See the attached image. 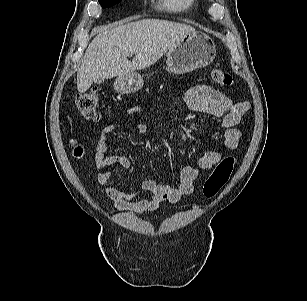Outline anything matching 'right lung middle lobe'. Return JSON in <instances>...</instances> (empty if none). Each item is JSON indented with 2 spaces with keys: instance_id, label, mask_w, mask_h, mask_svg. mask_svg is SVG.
<instances>
[{
  "instance_id": "obj_1",
  "label": "right lung middle lobe",
  "mask_w": 307,
  "mask_h": 301,
  "mask_svg": "<svg viewBox=\"0 0 307 301\" xmlns=\"http://www.w3.org/2000/svg\"><path fill=\"white\" fill-rule=\"evenodd\" d=\"M121 0H99V3L103 8L113 6L116 3H119Z\"/></svg>"
}]
</instances>
